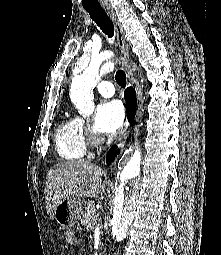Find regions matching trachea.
Wrapping results in <instances>:
<instances>
[{"instance_id": "3493384b", "label": "trachea", "mask_w": 221, "mask_h": 255, "mask_svg": "<svg viewBox=\"0 0 221 255\" xmlns=\"http://www.w3.org/2000/svg\"><path fill=\"white\" fill-rule=\"evenodd\" d=\"M89 13L91 19L100 27V29L105 33L109 38H112L114 35V26L110 18L107 16L106 12L102 8H85ZM117 83L121 87L126 86V74L123 70H118L115 75Z\"/></svg>"}]
</instances>
